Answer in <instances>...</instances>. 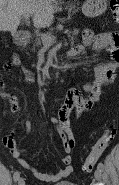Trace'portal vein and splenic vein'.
Wrapping results in <instances>:
<instances>
[{"label": "portal vein and splenic vein", "instance_id": "portal-vein-and-splenic-vein-1", "mask_svg": "<svg viewBox=\"0 0 119 185\" xmlns=\"http://www.w3.org/2000/svg\"><path fill=\"white\" fill-rule=\"evenodd\" d=\"M29 16H30L29 13L24 14L25 20H28ZM67 32L68 31H65V33H67ZM41 36H42L43 45L46 46V47H50L56 42L55 37H53V36H47V35H44V34L41 35Z\"/></svg>", "mask_w": 119, "mask_h": 185}]
</instances>
